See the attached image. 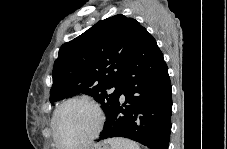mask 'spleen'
<instances>
[{
  "mask_svg": "<svg viewBox=\"0 0 227 149\" xmlns=\"http://www.w3.org/2000/svg\"><path fill=\"white\" fill-rule=\"evenodd\" d=\"M106 143L110 145L111 149H140L136 142L121 137L108 139Z\"/></svg>",
  "mask_w": 227,
  "mask_h": 149,
  "instance_id": "spleen-1",
  "label": "spleen"
}]
</instances>
